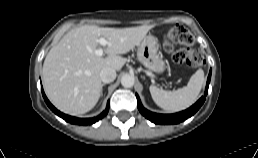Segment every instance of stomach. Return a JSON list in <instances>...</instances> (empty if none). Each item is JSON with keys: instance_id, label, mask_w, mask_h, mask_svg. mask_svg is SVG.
I'll list each match as a JSON object with an SVG mask.
<instances>
[{"instance_id": "0dacf381", "label": "stomach", "mask_w": 258, "mask_h": 158, "mask_svg": "<svg viewBox=\"0 0 258 158\" xmlns=\"http://www.w3.org/2000/svg\"><path fill=\"white\" fill-rule=\"evenodd\" d=\"M137 58L155 73H162L165 70V63L158 53L157 39L152 35L144 37L138 45Z\"/></svg>"}]
</instances>
